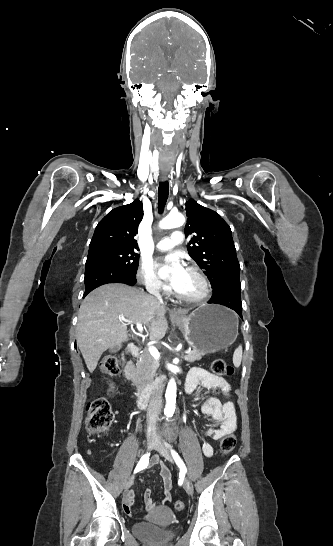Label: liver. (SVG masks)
<instances>
[{"mask_svg": "<svg viewBox=\"0 0 333 546\" xmlns=\"http://www.w3.org/2000/svg\"><path fill=\"white\" fill-rule=\"evenodd\" d=\"M166 309L154 297L122 283H110L92 291L78 313L77 344L90 372L107 349L128 340V323L143 324L152 341L161 340L168 329Z\"/></svg>", "mask_w": 333, "mask_h": 546, "instance_id": "obj_1", "label": "liver"}]
</instances>
